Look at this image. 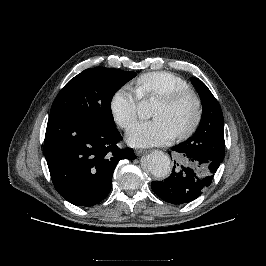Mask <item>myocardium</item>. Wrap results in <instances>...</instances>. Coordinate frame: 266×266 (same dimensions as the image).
Instances as JSON below:
<instances>
[{
	"instance_id": "1",
	"label": "myocardium",
	"mask_w": 266,
	"mask_h": 266,
	"mask_svg": "<svg viewBox=\"0 0 266 266\" xmlns=\"http://www.w3.org/2000/svg\"><path fill=\"white\" fill-rule=\"evenodd\" d=\"M186 99H190L193 102L195 112L190 125L186 129L176 133V136L179 139H185L190 137L199 127L203 115V104L201 98L196 92L188 89L175 91L157 99L159 102L167 106H174Z\"/></svg>"
}]
</instances>
